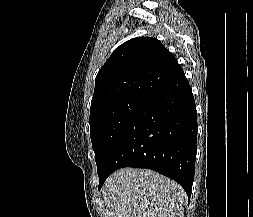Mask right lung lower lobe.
<instances>
[{"mask_svg": "<svg viewBox=\"0 0 253 217\" xmlns=\"http://www.w3.org/2000/svg\"><path fill=\"white\" fill-rule=\"evenodd\" d=\"M197 120L184 72L148 101L115 143L100 177L122 167L148 168L178 182L190 197L195 171Z\"/></svg>", "mask_w": 253, "mask_h": 217, "instance_id": "right-lung-lower-lobe-1", "label": "right lung lower lobe"}]
</instances>
